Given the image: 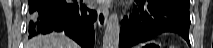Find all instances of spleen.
<instances>
[{
  "label": "spleen",
  "mask_w": 213,
  "mask_h": 48,
  "mask_svg": "<svg viewBox=\"0 0 213 48\" xmlns=\"http://www.w3.org/2000/svg\"><path fill=\"white\" fill-rule=\"evenodd\" d=\"M169 48H176L174 45H169Z\"/></svg>",
  "instance_id": "1"
}]
</instances>
